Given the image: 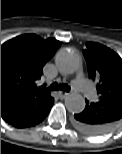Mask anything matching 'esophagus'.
Wrapping results in <instances>:
<instances>
[{
	"label": "esophagus",
	"mask_w": 122,
	"mask_h": 154,
	"mask_svg": "<svg viewBox=\"0 0 122 154\" xmlns=\"http://www.w3.org/2000/svg\"><path fill=\"white\" fill-rule=\"evenodd\" d=\"M68 94H69V93L64 92V91L58 92V95H59V97H60L61 99H62V98H65Z\"/></svg>",
	"instance_id": "1"
}]
</instances>
